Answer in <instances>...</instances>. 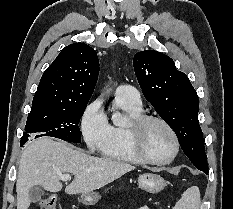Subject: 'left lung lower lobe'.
Here are the masks:
<instances>
[{
    "mask_svg": "<svg viewBox=\"0 0 233 209\" xmlns=\"http://www.w3.org/2000/svg\"><path fill=\"white\" fill-rule=\"evenodd\" d=\"M201 171H203L204 173L208 174V168L203 169V170H201Z\"/></svg>",
    "mask_w": 233,
    "mask_h": 209,
    "instance_id": "1",
    "label": "left lung lower lobe"
}]
</instances>
